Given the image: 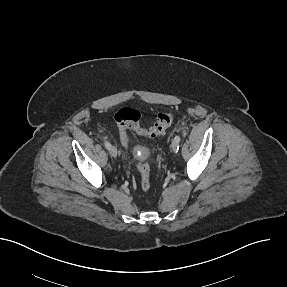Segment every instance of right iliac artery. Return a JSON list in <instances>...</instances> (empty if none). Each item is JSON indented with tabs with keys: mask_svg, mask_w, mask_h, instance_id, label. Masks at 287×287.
I'll return each mask as SVG.
<instances>
[{
	"mask_svg": "<svg viewBox=\"0 0 287 287\" xmlns=\"http://www.w3.org/2000/svg\"><path fill=\"white\" fill-rule=\"evenodd\" d=\"M104 145H105V147H106L107 149H109V147L111 146V144H110L109 142H107V141H105Z\"/></svg>",
	"mask_w": 287,
	"mask_h": 287,
	"instance_id": "1",
	"label": "right iliac artery"
}]
</instances>
